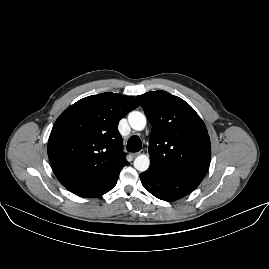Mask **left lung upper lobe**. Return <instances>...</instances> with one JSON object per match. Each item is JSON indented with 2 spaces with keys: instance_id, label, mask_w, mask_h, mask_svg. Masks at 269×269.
<instances>
[{
  "instance_id": "obj_1",
  "label": "left lung upper lobe",
  "mask_w": 269,
  "mask_h": 269,
  "mask_svg": "<svg viewBox=\"0 0 269 269\" xmlns=\"http://www.w3.org/2000/svg\"><path fill=\"white\" fill-rule=\"evenodd\" d=\"M137 98L152 124L149 169L202 181L211 145L199 115L187 102L162 90Z\"/></svg>"
}]
</instances>
